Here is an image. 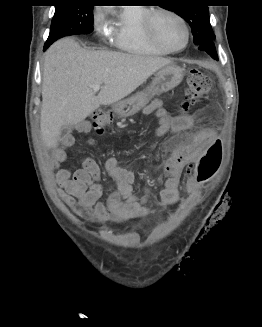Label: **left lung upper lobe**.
Returning <instances> with one entry per match:
<instances>
[{
	"instance_id": "obj_1",
	"label": "left lung upper lobe",
	"mask_w": 262,
	"mask_h": 327,
	"mask_svg": "<svg viewBox=\"0 0 262 327\" xmlns=\"http://www.w3.org/2000/svg\"><path fill=\"white\" fill-rule=\"evenodd\" d=\"M183 2L184 0H168L165 2L164 8L174 11L189 23L193 33V41L197 46L214 41L215 35L209 20L208 6L200 4L199 0H191V2L196 3L193 5H184Z\"/></svg>"
}]
</instances>
